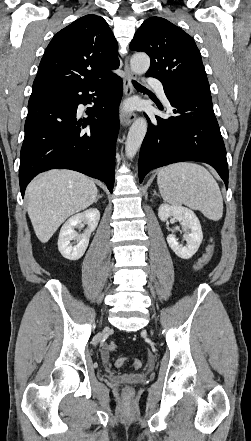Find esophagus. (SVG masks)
Returning a JSON list of instances; mask_svg holds the SVG:
<instances>
[{"mask_svg": "<svg viewBox=\"0 0 251 441\" xmlns=\"http://www.w3.org/2000/svg\"><path fill=\"white\" fill-rule=\"evenodd\" d=\"M124 73H125V77H124V96L125 97H130L133 92H134V88H133V84H132V80H134L136 78V75L131 71L129 64H128V60H125V65H124ZM136 118V113L135 112H131L129 114L124 113L123 111L120 113V122L122 125H129L131 124V122H133Z\"/></svg>", "mask_w": 251, "mask_h": 441, "instance_id": "1", "label": "esophagus"}]
</instances>
